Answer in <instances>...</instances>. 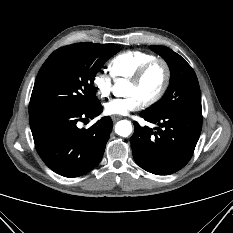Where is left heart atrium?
Wrapping results in <instances>:
<instances>
[{
    "label": "left heart atrium",
    "instance_id": "39dd6f15",
    "mask_svg": "<svg viewBox=\"0 0 233 233\" xmlns=\"http://www.w3.org/2000/svg\"><path fill=\"white\" fill-rule=\"evenodd\" d=\"M142 106L141 100L134 94L123 98H115L104 104V111L108 115H126Z\"/></svg>",
    "mask_w": 233,
    "mask_h": 233
}]
</instances>
